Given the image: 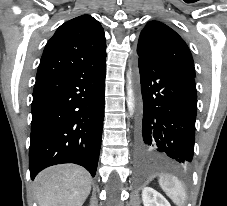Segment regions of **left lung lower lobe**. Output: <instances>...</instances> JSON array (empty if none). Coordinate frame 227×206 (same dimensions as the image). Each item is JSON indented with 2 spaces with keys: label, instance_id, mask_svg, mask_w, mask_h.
Listing matches in <instances>:
<instances>
[{
  "label": "left lung lower lobe",
  "instance_id": "left-lung-lower-lobe-1",
  "mask_svg": "<svg viewBox=\"0 0 227 206\" xmlns=\"http://www.w3.org/2000/svg\"><path fill=\"white\" fill-rule=\"evenodd\" d=\"M138 67L142 93L139 154L154 150L180 163L191 162L197 112L194 76L141 59Z\"/></svg>",
  "mask_w": 227,
  "mask_h": 206
}]
</instances>
